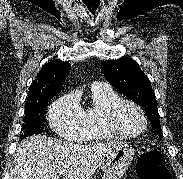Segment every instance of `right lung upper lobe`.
Returning <instances> with one entry per match:
<instances>
[{"instance_id":"cb5924a9","label":"right lung upper lobe","mask_w":183,"mask_h":179,"mask_svg":"<svg viewBox=\"0 0 183 179\" xmlns=\"http://www.w3.org/2000/svg\"><path fill=\"white\" fill-rule=\"evenodd\" d=\"M70 64L59 59L46 63L29 87L26 106L39 103L58 94L70 71Z\"/></svg>"}]
</instances>
